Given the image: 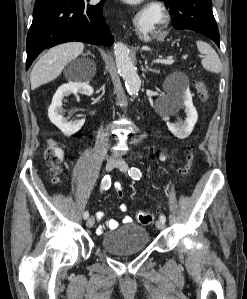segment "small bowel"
<instances>
[{
  "mask_svg": "<svg viewBox=\"0 0 247 299\" xmlns=\"http://www.w3.org/2000/svg\"><path fill=\"white\" fill-rule=\"evenodd\" d=\"M162 159H164V156H162ZM118 185H119L118 183L115 184V189H117V186H118ZM117 193H118V195H119L120 197L122 196V191H121V192H117ZM119 209H120L122 212H125V211L127 210V207H126V205L121 204V205L119 206ZM103 218H104V213H103V212L99 211V212L96 213V219H97L98 221L102 220ZM131 220H132V219H131V217H129V216H126V217H124V219H123V221H124L125 223L131 222ZM118 225H119V223H118L116 220H114V219H109V220H107V221L105 222V224L100 225V226L97 228L96 232H97V234L101 235V234L104 233V231H105L106 228L113 230V229H116V228L118 227Z\"/></svg>",
  "mask_w": 247,
  "mask_h": 299,
  "instance_id": "c3829d8e",
  "label": "small bowel"
}]
</instances>
